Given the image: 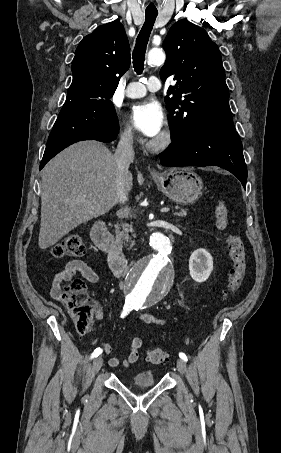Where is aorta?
Segmentation results:
<instances>
[{
  "label": "aorta",
  "instance_id": "762f6f07",
  "mask_svg": "<svg viewBox=\"0 0 281 453\" xmlns=\"http://www.w3.org/2000/svg\"><path fill=\"white\" fill-rule=\"evenodd\" d=\"M165 53L152 49L148 54L149 65H162ZM150 244L155 255L141 260L128 273L126 278L127 301L135 307L153 305L161 301L173 285L174 270L169 255L172 243L162 233H153Z\"/></svg>",
  "mask_w": 281,
  "mask_h": 453
}]
</instances>
